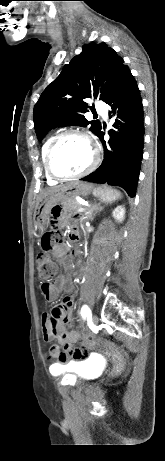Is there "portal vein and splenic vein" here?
<instances>
[{
  "label": "portal vein and splenic vein",
  "instance_id": "portal-vein-and-splenic-vein-1",
  "mask_svg": "<svg viewBox=\"0 0 165 461\" xmlns=\"http://www.w3.org/2000/svg\"><path fill=\"white\" fill-rule=\"evenodd\" d=\"M79 204L81 205V207L78 209L79 212L81 211H84L86 206H89V204L87 202H84V201H80L78 200Z\"/></svg>",
  "mask_w": 165,
  "mask_h": 461
}]
</instances>
